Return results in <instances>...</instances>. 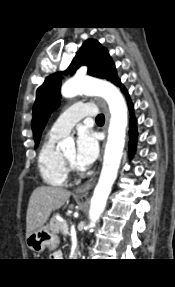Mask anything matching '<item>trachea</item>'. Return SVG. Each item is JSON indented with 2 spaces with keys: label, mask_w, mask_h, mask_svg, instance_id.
I'll return each mask as SVG.
<instances>
[{
  "label": "trachea",
  "mask_w": 175,
  "mask_h": 287,
  "mask_svg": "<svg viewBox=\"0 0 175 287\" xmlns=\"http://www.w3.org/2000/svg\"><path fill=\"white\" fill-rule=\"evenodd\" d=\"M105 121V117L103 114H99L97 117H96V122L97 123H104Z\"/></svg>",
  "instance_id": "1"
}]
</instances>
